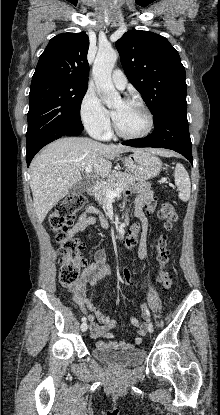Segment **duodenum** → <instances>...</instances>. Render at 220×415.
Segmentation results:
<instances>
[{
	"label": "duodenum",
	"mask_w": 220,
	"mask_h": 415,
	"mask_svg": "<svg viewBox=\"0 0 220 415\" xmlns=\"http://www.w3.org/2000/svg\"><path fill=\"white\" fill-rule=\"evenodd\" d=\"M95 190H96V186H95V184H94V183H90V184L88 185V187H87V192H88L89 194H93V193L95 192ZM123 234H124V229H123V228H120V229L117 231V235H118V236H120V237H122V236H123Z\"/></svg>",
	"instance_id": "obj_1"
}]
</instances>
